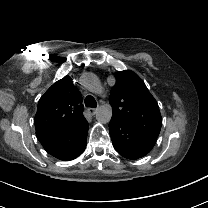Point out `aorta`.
Returning <instances> with one entry per match:
<instances>
[{
	"label": "aorta",
	"mask_w": 208,
	"mask_h": 208,
	"mask_svg": "<svg viewBox=\"0 0 208 208\" xmlns=\"http://www.w3.org/2000/svg\"><path fill=\"white\" fill-rule=\"evenodd\" d=\"M112 117V108L105 104L96 109V120L102 124L110 122Z\"/></svg>",
	"instance_id": "aorta-1"
}]
</instances>
